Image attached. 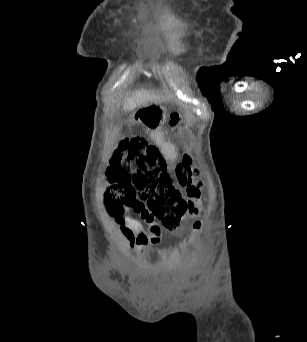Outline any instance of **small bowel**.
<instances>
[{"label":"small bowel","mask_w":307,"mask_h":342,"mask_svg":"<svg viewBox=\"0 0 307 342\" xmlns=\"http://www.w3.org/2000/svg\"><path fill=\"white\" fill-rule=\"evenodd\" d=\"M139 215L141 219L128 216L117 217L115 225L128 249L142 255L149 245L161 240L162 229L149 214Z\"/></svg>","instance_id":"obj_1"}]
</instances>
